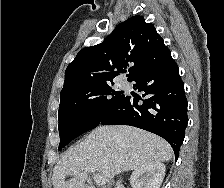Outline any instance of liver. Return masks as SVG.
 <instances>
[{
	"label": "liver",
	"instance_id": "liver-1",
	"mask_svg": "<svg viewBox=\"0 0 224 188\" xmlns=\"http://www.w3.org/2000/svg\"><path fill=\"white\" fill-rule=\"evenodd\" d=\"M172 156L171 146L155 134L130 126H99L62 156L54 167L52 184L54 188H85L89 167L111 180L122 171L169 161ZM68 175L73 178L66 181Z\"/></svg>",
	"mask_w": 224,
	"mask_h": 188
}]
</instances>
